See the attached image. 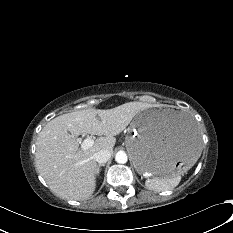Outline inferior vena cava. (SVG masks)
<instances>
[{"instance_id": "1", "label": "inferior vena cava", "mask_w": 233, "mask_h": 233, "mask_svg": "<svg viewBox=\"0 0 233 233\" xmlns=\"http://www.w3.org/2000/svg\"><path fill=\"white\" fill-rule=\"evenodd\" d=\"M111 157V152L109 150H100L93 155V159L99 164L106 163Z\"/></svg>"}]
</instances>
